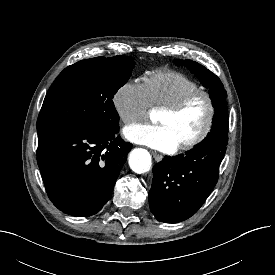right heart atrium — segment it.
<instances>
[{"instance_id": "obj_1", "label": "right heart atrium", "mask_w": 275, "mask_h": 275, "mask_svg": "<svg viewBox=\"0 0 275 275\" xmlns=\"http://www.w3.org/2000/svg\"><path fill=\"white\" fill-rule=\"evenodd\" d=\"M113 105L124 124L144 119L152 106L144 83L136 80L127 81L116 90Z\"/></svg>"}]
</instances>
